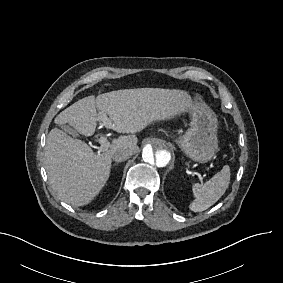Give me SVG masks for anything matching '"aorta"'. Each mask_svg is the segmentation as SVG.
Returning a JSON list of instances; mask_svg holds the SVG:
<instances>
[{
  "label": "aorta",
  "mask_w": 283,
  "mask_h": 283,
  "mask_svg": "<svg viewBox=\"0 0 283 283\" xmlns=\"http://www.w3.org/2000/svg\"><path fill=\"white\" fill-rule=\"evenodd\" d=\"M142 159L151 171L167 169L172 163V147L161 138H148L143 147Z\"/></svg>",
  "instance_id": "aorta-1"
}]
</instances>
